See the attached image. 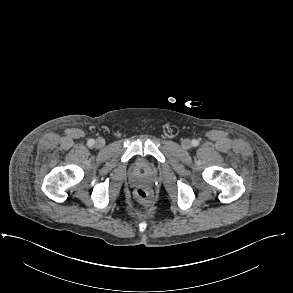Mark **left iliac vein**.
<instances>
[{"instance_id":"4c4485c4","label":"left iliac vein","mask_w":293,"mask_h":293,"mask_svg":"<svg viewBox=\"0 0 293 293\" xmlns=\"http://www.w3.org/2000/svg\"><path fill=\"white\" fill-rule=\"evenodd\" d=\"M182 147L184 149H189L191 147V141L189 139H184L182 141Z\"/></svg>"}]
</instances>
